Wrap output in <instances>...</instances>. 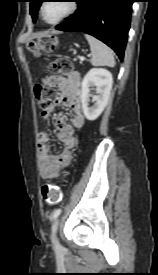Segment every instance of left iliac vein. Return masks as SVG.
<instances>
[{
	"instance_id": "4c4485c4",
	"label": "left iliac vein",
	"mask_w": 158,
	"mask_h": 275,
	"mask_svg": "<svg viewBox=\"0 0 158 275\" xmlns=\"http://www.w3.org/2000/svg\"><path fill=\"white\" fill-rule=\"evenodd\" d=\"M58 224H59V220H56L52 225V235H53V238H54V247H55V249L59 248V243H58L57 237H56Z\"/></svg>"
}]
</instances>
